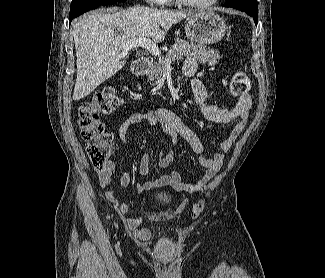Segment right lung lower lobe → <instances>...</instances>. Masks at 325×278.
<instances>
[{"mask_svg":"<svg viewBox=\"0 0 325 278\" xmlns=\"http://www.w3.org/2000/svg\"><path fill=\"white\" fill-rule=\"evenodd\" d=\"M126 0H72L69 20L80 16L81 14L97 8L100 5L114 4L116 2H123Z\"/></svg>","mask_w":325,"mask_h":278,"instance_id":"98d812e1","label":"right lung lower lobe"}]
</instances>
